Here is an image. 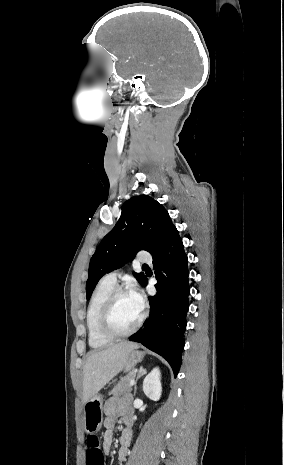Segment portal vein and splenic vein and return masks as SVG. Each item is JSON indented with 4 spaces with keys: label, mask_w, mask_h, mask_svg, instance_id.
Returning a JSON list of instances; mask_svg holds the SVG:
<instances>
[{
    "label": "portal vein and splenic vein",
    "mask_w": 284,
    "mask_h": 465,
    "mask_svg": "<svg viewBox=\"0 0 284 465\" xmlns=\"http://www.w3.org/2000/svg\"><path fill=\"white\" fill-rule=\"evenodd\" d=\"M134 383H135V381H134V379H132V381L130 383L131 387H133Z\"/></svg>",
    "instance_id": "portal-vein-and-splenic-vein-1"
}]
</instances>
